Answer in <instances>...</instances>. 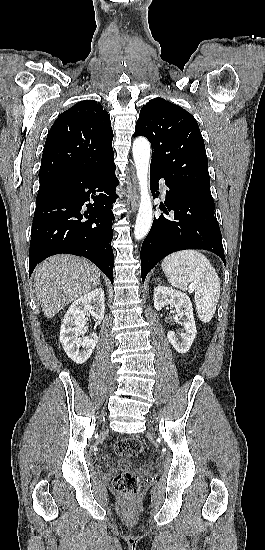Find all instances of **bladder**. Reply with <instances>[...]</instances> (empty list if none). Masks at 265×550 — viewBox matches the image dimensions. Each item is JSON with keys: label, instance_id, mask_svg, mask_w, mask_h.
I'll use <instances>...</instances> for the list:
<instances>
[{"label": "bladder", "instance_id": "obj_1", "mask_svg": "<svg viewBox=\"0 0 265 550\" xmlns=\"http://www.w3.org/2000/svg\"><path fill=\"white\" fill-rule=\"evenodd\" d=\"M122 457H124V458H130V457H128V456H122Z\"/></svg>", "mask_w": 265, "mask_h": 550}]
</instances>
